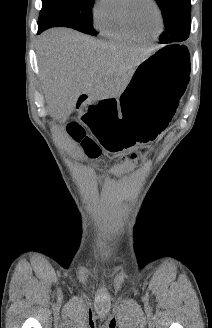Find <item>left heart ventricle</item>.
<instances>
[{
    "label": "left heart ventricle",
    "instance_id": "1",
    "mask_svg": "<svg viewBox=\"0 0 212 328\" xmlns=\"http://www.w3.org/2000/svg\"><path fill=\"white\" fill-rule=\"evenodd\" d=\"M137 25L147 33H155L159 28L158 14L149 0H137L133 8Z\"/></svg>",
    "mask_w": 212,
    "mask_h": 328
}]
</instances>
